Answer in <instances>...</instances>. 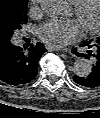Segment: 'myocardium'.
Listing matches in <instances>:
<instances>
[{"label": "myocardium", "instance_id": "1", "mask_svg": "<svg viewBox=\"0 0 100 118\" xmlns=\"http://www.w3.org/2000/svg\"><path fill=\"white\" fill-rule=\"evenodd\" d=\"M90 1L92 0H78L75 3H73V12L77 19L81 18L86 5ZM93 1H95L97 4V18L95 22L84 27L85 32L88 34L96 32L100 27V0Z\"/></svg>", "mask_w": 100, "mask_h": 118}]
</instances>
